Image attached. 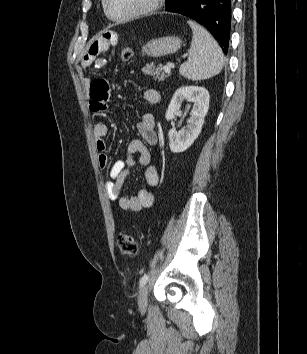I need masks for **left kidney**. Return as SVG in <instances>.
<instances>
[{
    "instance_id": "left-kidney-1",
    "label": "left kidney",
    "mask_w": 307,
    "mask_h": 354,
    "mask_svg": "<svg viewBox=\"0 0 307 354\" xmlns=\"http://www.w3.org/2000/svg\"><path fill=\"white\" fill-rule=\"evenodd\" d=\"M209 99V92L203 87L184 86L176 90L166 111L165 117L168 121L175 118L184 101L193 102L196 107L192 110L186 127L180 131H176L175 128L169 130V146L173 153L187 150L199 136L208 112Z\"/></svg>"
}]
</instances>
